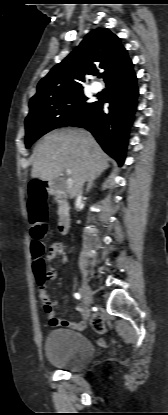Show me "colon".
I'll return each instance as SVG.
<instances>
[{
    "label": "colon",
    "instance_id": "obj_1",
    "mask_svg": "<svg viewBox=\"0 0 168 415\" xmlns=\"http://www.w3.org/2000/svg\"><path fill=\"white\" fill-rule=\"evenodd\" d=\"M28 213L32 238L31 253L34 258L33 270L39 284L42 286L49 279V273L46 270L48 256L44 255L45 246L42 242L47 234V225L45 223L47 208L43 188L38 184H33L29 187ZM91 324L98 333H106L108 331L105 319L101 314H94ZM100 344L106 346L104 340H101Z\"/></svg>",
    "mask_w": 168,
    "mask_h": 415
}]
</instances>
